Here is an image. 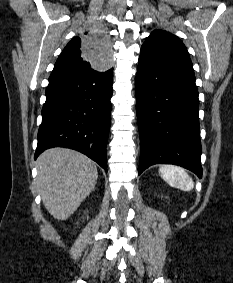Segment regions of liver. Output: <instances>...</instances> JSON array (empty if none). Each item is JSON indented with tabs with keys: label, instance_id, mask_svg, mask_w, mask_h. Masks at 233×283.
Here are the masks:
<instances>
[{
	"label": "liver",
	"instance_id": "6515ba94",
	"mask_svg": "<svg viewBox=\"0 0 233 283\" xmlns=\"http://www.w3.org/2000/svg\"><path fill=\"white\" fill-rule=\"evenodd\" d=\"M95 163L80 152L51 148L37 159L36 183L47 211L66 220L95 188Z\"/></svg>",
	"mask_w": 233,
	"mask_h": 283
}]
</instances>
